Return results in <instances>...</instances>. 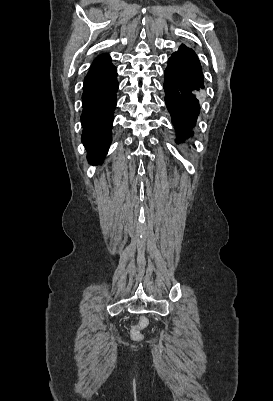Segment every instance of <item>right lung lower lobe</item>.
<instances>
[{
	"instance_id": "obj_1",
	"label": "right lung lower lobe",
	"mask_w": 273,
	"mask_h": 401,
	"mask_svg": "<svg viewBox=\"0 0 273 401\" xmlns=\"http://www.w3.org/2000/svg\"><path fill=\"white\" fill-rule=\"evenodd\" d=\"M117 70L109 61L89 69L84 79L81 122L82 142L90 164L97 165L112 141L111 127L116 107Z\"/></svg>"
}]
</instances>
